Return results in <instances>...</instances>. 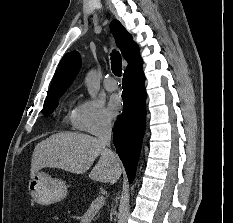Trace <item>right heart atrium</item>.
Masks as SVG:
<instances>
[{
    "mask_svg": "<svg viewBox=\"0 0 233 223\" xmlns=\"http://www.w3.org/2000/svg\"><path fill=\"white\" fill-rule=\"evenodd\" d=\"M112 120L102 103L87 99L77 107L76 128L90 134H99L111 130Z\"/></svg>",
    "mask_w": 233,
    "mask_h": 223,
    "instance_id": "1",
    "label": "right heart atrium"
}]
</instances>
